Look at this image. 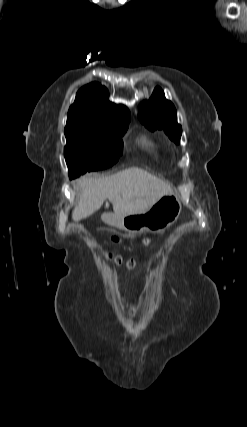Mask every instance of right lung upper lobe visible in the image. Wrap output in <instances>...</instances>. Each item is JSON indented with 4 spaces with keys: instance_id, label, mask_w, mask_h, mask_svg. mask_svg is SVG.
I'll list each match as a JSON object with an SVG mask.
<instances>
[{
    "instance_id": "obj_1",
    "label": "right lung upper lobe",
    "mask_w": 247,
    "mask_h": 427,
    "mask_svg": "<svg viewBox=\"0 0 247 427\" xmlns=\"http://www.w3.org/2000/svg\"><path fill=\"white\" fill-rule=\"evenodd\" d=\"M108 97V90L97 82L82 87L69 108L67 120L104 128L128 126L129 110L123 105L111 103Z\"/></svg>"
}]
</instances>
